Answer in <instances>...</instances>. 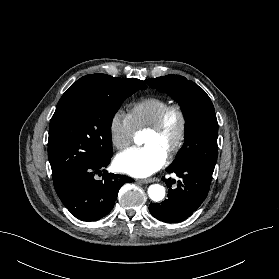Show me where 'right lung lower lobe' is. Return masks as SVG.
Listing matches in <instances>:
<instances>
[{"label":"right lung lower lobe","mask_w":279,"mask_h":279,"mask_svg":"<svg viewBox=\"0 0 279 279\" xmlns=\"http://www.w3.org/2000/svg\"><path fill=\"white\" fill-rule=\"evenodd\" d=\"M110 159L85 164L53 181L60 200L76 218L90 222L105 217L112 210L121 186L133 181L104 170ZM101 170L102 180H97L95 174L101 175Z\"/></svg>","instance_id":"right-lung-lower-lobe-1"}]
</instances>
